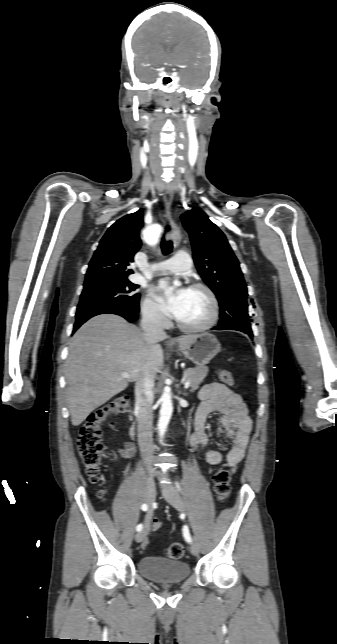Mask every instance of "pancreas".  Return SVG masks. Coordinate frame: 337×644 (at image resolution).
<instances>
[{
  "label": "pancreas",
  "instance_id": "pancreas-1",
  "mask_svg": "<svg viewBox=\"0 0 337 644\" xmlns=\"http://www.w3.org/2000/svg\"><path fill=\"white\" fill-rule=\"evenodd\" d=\"M207 373H208V368L205 366L189 368L184 372V376L186 380L190 381V387L192 392L198 389L201 382H203L204 378L207 376Z\"/></svg>",
  "mask_w": 337,
  "mask_h": 644
}]
</instances>
